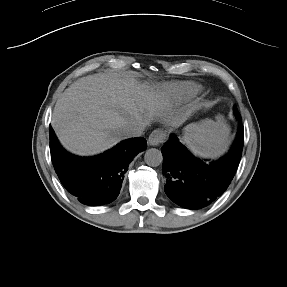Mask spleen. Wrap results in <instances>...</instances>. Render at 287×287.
Masks as SVG:
<instances>
[{
    "label": "spleen",
    "instance_id": "spleen-1",
    "mask_svg": "<svg viewBox=\"0 0 287 287\" xmlns=\"http://www.w3.org/2000/svg\"><path fill=\"white\" fill-rule=\"evenodd\" d=\"M216 119H206L185 128L184 143L194 155L215 159L227 151L230 127L222 115Z\"/></svg>",
    "mask_w": 287,
    "mask_h": 287
}]
</instances>
